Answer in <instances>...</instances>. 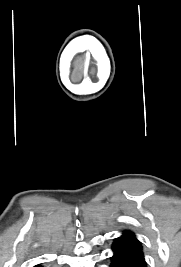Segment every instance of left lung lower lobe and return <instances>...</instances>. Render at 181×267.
<instances>
[{"instance_id": "obj_1", "label": "left lung lower lobe", "mask_w": 181, "mask_h": 267, "mask_svg": "<svg viewBox=\"0 0 181 267\" xmlns=\"http://www.w3.org/2000/svg\"><path fill=\"white\" fill-rule=\"evenodd\" d=\"M110 267H146L140 242L133 233L124 232L113 243Z\"/></svg>"}]
</instances>
